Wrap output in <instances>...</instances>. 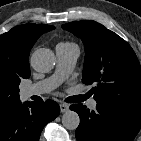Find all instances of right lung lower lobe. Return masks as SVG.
<instances>
[{"mask_svg": "<svg viewBox=\"0 0 141 141\" xmlns=\"http://www.w3.org/2000/svg\"><path fill=\"white\" fill-rule=\"evenodd\" d=\"M60 113L52 101L19 102L0 112V141H39L44 126Z\"/></svg>", "mask_w": 141, "mask_h": 141, "instance_id": "right-lung-lower-lobe-1", "label": "right lung lower lobe"}]
</instances>
